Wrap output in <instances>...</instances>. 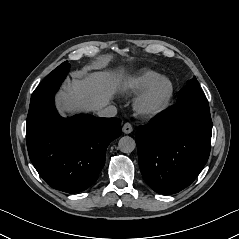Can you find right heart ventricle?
<instances>
[{"mask_svg": "<svg viewBox=\"0 0 239 239\" xmlns=\"http://www.w3.org/2000/svg\"><path fill=\"white\" fill-rule=\"evenodd\" d=\"M159 74L152 70H144L129 78L123 84V89L129 94L143 91Z\"/></svg>", "mask_w": 239, "mask_h": 239, "instance_id": "1", "label": "right heart ventricle"}]
</instances>
